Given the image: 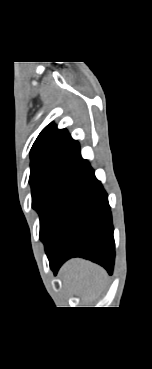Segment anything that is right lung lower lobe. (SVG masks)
<instances>
[{
	"label": "right lung lower lobe",
	"mask_w": 152,
	"mask_h": 369,
	"mask_svg": "<svg viewBox=\"0 0 152 369\" xmlns=\"http://www.w3.org/2000/svg\"><path fill=\"white\" fill-rule=\"evenodd\" d=\"M113 230L107 194L85 161L62 196L43 240L54 274L72 257L89 259L112 274Z\"/></svg>",
	"instance_id": "right-lung-lower-lobe-1"
}]
</instances>
